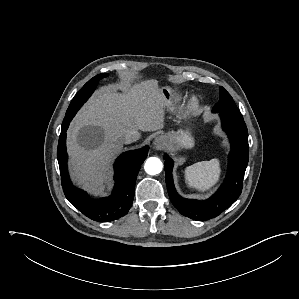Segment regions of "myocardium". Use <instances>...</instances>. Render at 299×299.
<instances>
[{
  "instance_id": "1",
  "label": "myocardium",
  "mask_w": 299,
  "mask_h": 299,
  "mask_svg": "<svg viewBox=\"0 0 299 299\" xmlns=\"http://www.w3.org/2000/svg\"><path fill=\"white\" fill-rule=\"evenodd\" d=\"M195 105H196V101L193 100L192 103H191V107H195Z\"/></svg>"
}]
</instances>
